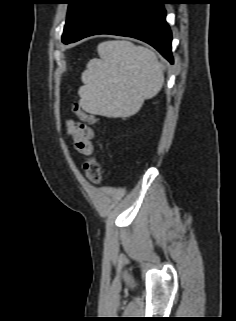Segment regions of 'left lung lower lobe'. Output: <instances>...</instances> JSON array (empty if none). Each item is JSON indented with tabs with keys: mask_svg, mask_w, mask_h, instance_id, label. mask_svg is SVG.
<instances>
[{
	"mask_svg": "<svg viewBox=\"0 0 236 321\" xmlns=\"http://www.w3.org/2000/svg\"><path fill=\"white\" fill-rule=\"evenodd\" d=\"M169 0H97L75 36L65 44L97 34L129 36L157 49L171 64L172 36L163 4Z\"/></svg>",
	"mask_w": 236,
	"mask_h": 321,
	"instance_id": "0a47b994",
	"label": "left lung lower lobe"
}]
</instances>
